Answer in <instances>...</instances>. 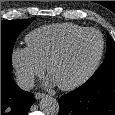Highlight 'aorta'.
I'll return each mask as SVG.
<instances>
[{
  "instance_id": "obj_1",
  "label": "aorta",
  "mask_w": 115,
  "mask_h": 115,
  "mask_svg": "<svg viewBox=\"0 0 115 115\" xmlns=\"http://www.w3.org/2000/svg\"><path fill=\"white\" fill-rule=\"evenodd\" d=\"M40 109L45 115H58L60 106L55 98L45 96L40 101Z\"/></svg>"
}]
</instances>
